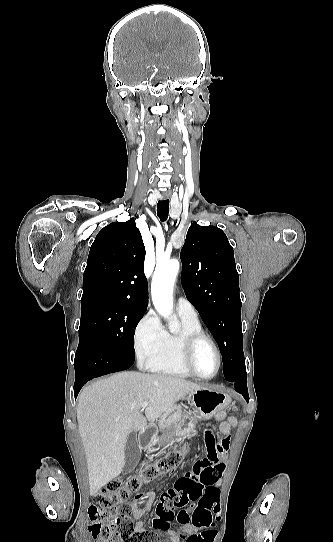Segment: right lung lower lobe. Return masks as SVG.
I'll return each mask as SVG.
<instances>
[{
	"instance_id": "98d812e1",
	"label": "right lung lower lobe",
	"mask_w": 333,
	"mask_h": 542,
	"mask_svg": "<svg viewBox=\"0 0 333 542\" xmlns=\"http://www.w3.org/2000/svg\"><path fill=\"white\" fill-rule=\"evenodd\" d=\"M134 360L117 355L111 348L94 337L86 336L79 340V346L75 354V399L89 380L126 370L132 366Z\"/></svg>"
}]
</instances>
